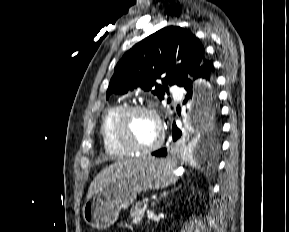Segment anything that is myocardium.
Listing matches in <instances>:
<instances>
[{"instance_id":"1","label":"myocardium","mask_w":289,"mask_h":232,"mask_svg":"<svg viewBox=\"0 0 289 232\" xmlns=\"http://www.w3.org/2000/svg\"><path fill=\"white\" fill-rule=\"evenodd\" d=\"M136 113L149 114L157 121L160 133L158 140L154 144L146 147L139 146L134 143L129 137L127 128L128 120L132 115ZM114 135L117 142L129 152L138 154H149L158 150L162 146L164 141V127L159 114L154 108L146 105H131L124 107L118 114L114 125Z\"/></svg>"}]
</instances>
